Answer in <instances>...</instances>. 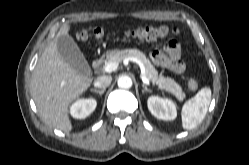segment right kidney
I'll list each match as a JSON object with an SVG mask.
<instances>
[{"label": "right kidney", "instance_id": "obj_1", "mask_svg": "<svg viewBox=\"0 0 249 165\" xmlns=\"http://www.w3.org/2000/svg\"><path fill=\"white\" fill-rule=\"evenodd\" d=\"M96 105L95 99H80L71 106L70 113L76 119H84L95 110Z\"/></svg>", "mask_w": 249, "mask_h": 165}]
</instances>
